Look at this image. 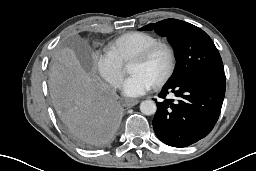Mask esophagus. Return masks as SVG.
I'll list each match as a JSON object with an SVG mask.
<instances>
[{"label":"esophagus","mask_w":256,"mask_h":171,"mask_svg":"<svg viewBox=\"0 0 256 171\" xmlns=\"http://www.w3.org/2000/svg\"><path fill=\"white\" fill-rule=\"evenodd\" d=\"M139 103V100L137 99H127L125 100L124 106L127 107H133Z\"/></svg>","instance_id":"34e87169"}]
</instances>
